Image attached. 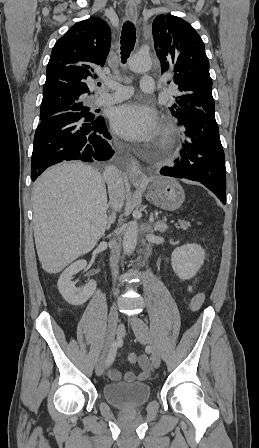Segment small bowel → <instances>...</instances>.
<instances>
[{"label":"small bowel","instance_id":"small-bowel-1","mask_svg":"<svg viewBox=\"0 0 259 448\" xmlns=\"http://www.w3.org/2000/svg\"><path fill=\"white\" fill-rule=\"evenodd\" d=\"M203 295L199 294L195 296V298L192 301V309L197 310L201 306L203 302ZM139 366L141 368V372L139 374H135L133 372H126L122 374L119 370L112 369L108 372V376L111 380L118 381L122 378H124L127 382H134V381H143L146 380L150 374L151 365L150 360L146 355H141L139 357Z\"/></svg>","mask_w":259,"mask_h":448}]
</instances>
